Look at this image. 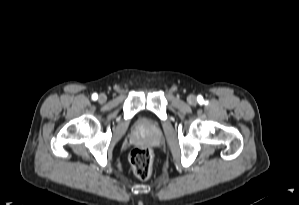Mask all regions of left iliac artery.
<instances>
[{"mask_svg":"<svg viewBox=\"0 0 299 205\" xmlns=\"http://www.w3.org/2000/svg\"><path fill=\"white\" fill-rule=\"evenodd\" d=\"M197 99H198V102H201L202 97L199 96Z\"/></svg>","mask_w":299,"mask_h":205,"instance_id":"left-iliac-artery-1","label":"left iliac artery"}]
</instances>
